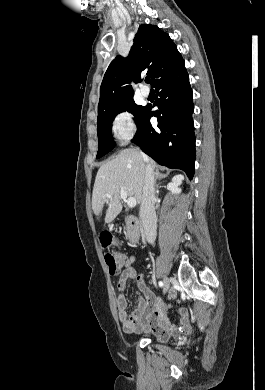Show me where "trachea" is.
<instances>
[{"instance_id": "trachea-1", "label": "trachea", "mask_w": 265, "mask_h": 390, "mask_svg": "<svg viewBox=\"0 0 265 390\" xmlns=\"http://www.w3.org/2000/svg\"><path fill=\"white\" fill-rule=\"evenodd\" d=\"M150 81H151V80H150L149 77H146V78H145V82H146V83H150Z\"/></svg>"}]
</instances>
